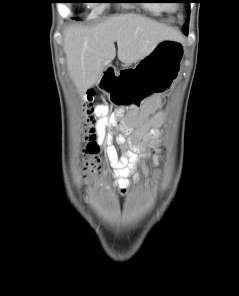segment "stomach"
<instances>
[{"mask_svg":"<svg viewBox=\"0 0 239 296\" xmlns=\"http://www.w3.org/2000/svg\"><path fill=\"white\" fill-rule=\"evenodd\" d=\"M184 45L180 40L160 41L154 49L141 59L136 69H119L115 84H152L157 85H100V90L109 94V100L117 108H133L138 111L145 104V98L153 94H164L172 90L183 57Z\"/></svg>","mask_w":239,"mask_h":296,"instance_id":"stomach-1","label":"stomach"}]
</instances>
